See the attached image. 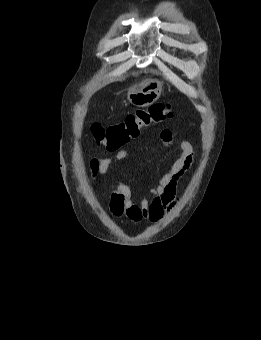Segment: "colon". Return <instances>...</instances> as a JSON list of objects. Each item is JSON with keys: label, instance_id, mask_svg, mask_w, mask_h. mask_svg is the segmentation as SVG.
Returning a JSON list of instances; mask_svg holds the SVG:
<instances>
[{"label": "colon", "instance_id": "1", "mask_svg": "<svg viewBox=\"0 0 261 340\" xmlns=\"http://www.w3.org/2000/svg\"><path fill=\"white\" fill-rule=\"evenodd\" d=\"M173 117L172 107L168 103H155L147 109L137 110L128 115L122 122L104 127L93 123L91 132L96 142L113 151L131 139L140 135L141 131L153 124H158Z\"/></svg>", "mask_w": 261, "mask_h": 340}]
</instances>
